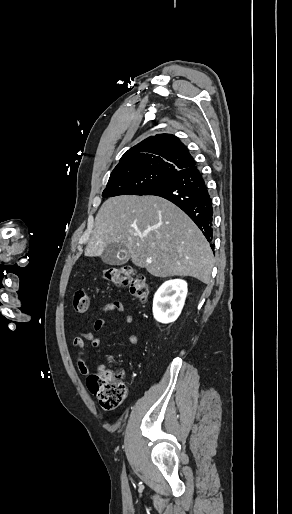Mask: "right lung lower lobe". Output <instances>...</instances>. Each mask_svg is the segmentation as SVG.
Wrapping results in <instances>:
<instances>
[{
  "instance_id": "1",
  "label": "right lung lower lobe",
  "mask_w": 292,
  "mask_h": 514,
  "mask_svg": "<svg viewBox=\"0 0 292 514\" xmlns=\"http://www.w3.org/2000/svg\"><path fill=\"white\" fill-rule=\"evenodd\" d=\"M143 195L163 197L181 208L199 227L206 239L213 238V204L197 166L176 172ZM214 248V245H210Z\"/></svg>"
}]
</instances>
